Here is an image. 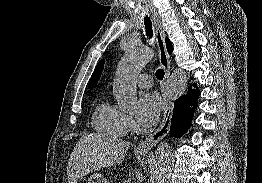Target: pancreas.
Segmentation results:
<instances>
[{
    "label": "pancreas",
    "mask_w": 262,
    "mask_h": 183,
    "mask_svg": "<svg viewBox=\"0 0 262 183\" xmlns=\"http://www.w3.org/2000/svg\"><path fill=\"white\" fill-rule=\"evenodd\" d=\"M121 183H129V180H123Z\"/></svg>",
    "instance_id": "obj_1"
}]
</instances>
